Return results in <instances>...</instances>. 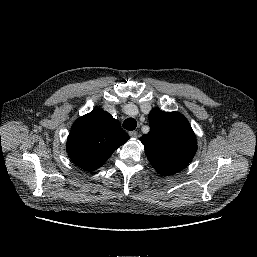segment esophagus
I'll return each instance as SVG.
<instances>
[{
	"mask_svg": "<svg viewBox=\"0 0 257 257\" xmlns=\"http://www.w3.org/2000/svg\"><path fill=\"white\" fill-rule=\"evenodd\" d=\"M129 135H130V137H132V138H136L137 135H138V133H137V131H130V132H129Z\"/></svg>",
	"mask_w": 257,
	"mask_h": 257,
	"instance_id": "34e87169",
	"label": "esophagus"
}]
</instances>
